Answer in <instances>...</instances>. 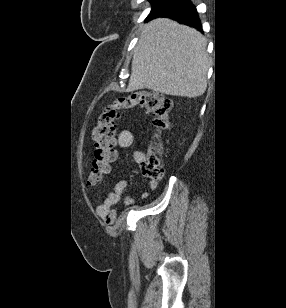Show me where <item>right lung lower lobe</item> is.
I'll return each instance as SVG.
<instances>
[{"mask_svg":"<svg viewBox=\"0 0 286 308\" xmlns=\"http://www.w3.org/2000/svg\"><path fill=\"white\" fill-rule=\"evenodd\" d=\"M156 17L175 19L180 23L202 31L196 8L191 4L190 0H173L163 9L150 13L146 20L148 21Z\"/></svg>","mask_w":286,"mask_h":308,"instance_id":"obj_1","label":"right lung lower lobe"}]
</instances>
